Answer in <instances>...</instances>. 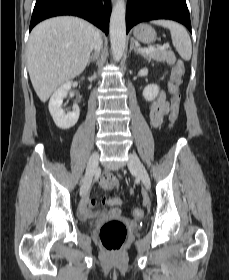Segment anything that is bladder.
Masks as SVG:
<instances>
[{"instance_id": "31cf9c89", "label": "bladder", "mask_w": 229, "mask_h": 280, "mask_svg": "<svg viewBox=\"0 0 229 280\" xmlns=\"http://www.w3.org/2000/svg\"><path fill=\"white\" fill-rule=\"evenodd\" d=\"M135 230H136V231H142V228L136 227Z\"/></svg>"}]
</instances>
